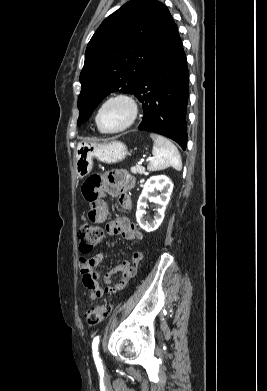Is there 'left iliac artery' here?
Masks as SVG:
<instances>
[{
    "label": "left iliac artery",
    "mask_w": 267,
    "mask_h": 391,
    "mask_svg": "<svg viewBox=\"0 0 267 391\" xmlns=\"http://www.w3.org/2000/svg\"><path fill=\"white\" fill-rule=\"evenodd\" d=\"M98 345H99V336H96L94 339H93V343H92V349H93V357H94V360H95V363H96V366L98 368V370H102V363H101V359L99 357V353H98Z\"/></svg>",
    "instance_id": "44dca946"
}]
</instances>
